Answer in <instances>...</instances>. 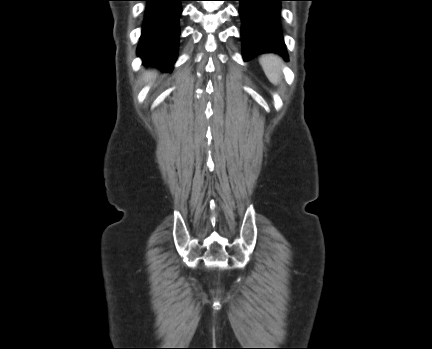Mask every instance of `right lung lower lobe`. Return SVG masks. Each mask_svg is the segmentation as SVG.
<instances>
[{
  "mask_svg": "<svg viewBox=\"0 0 432 349\" xmlns=\"http://www.w3.org/2000/svg\"><path fill=\"white\" fill-rule=\"evenodd\" d=\"M147 1L138 55L144 64L171 71L177 57L179 40L178 21L183 0Z\"/></svg>",
  "mask_w": 432,
  "mask_h": 349,
  "instance_id": "obj_1",
  "label": "right lung lower lobe"
}]
</instances>
